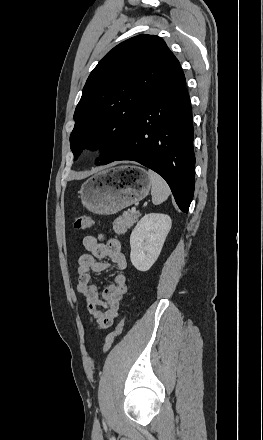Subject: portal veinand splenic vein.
Masks as SVG:
<instances>
[{"mask_svg":"<svg viewBox=\"0 0 263 440\" xmlns=\"http://www.w3.org/2000/svg\"><path fill=\"white\" fill-rule=\"evenodd\" d=\"M131 212H132V213H135V212H136V207H135V206L132 207Z\"/></svg>","mask_w":263,"mask_h":440,"instance_id":"portal-vein-and-splenic-vein-1","label":"portal vein and splenic vein"}]
</instances>
